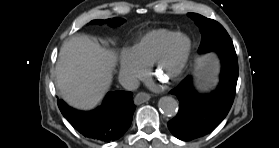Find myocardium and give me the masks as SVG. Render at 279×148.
<instances>
[{
    "instance_id": "1",
    "label": "myocardium",
    "mask_w": 279,
    "mask_h": 148,
    "mask_svg": "<svg viewBox=\"0 0 279 148\" xmlns=\"http://www.w3.org/2000/svg\"><path fill=\"white\" fill-rule=\"evenodd\" d=\"M181 41L184 42V46L181 49L179 61L172 72L165 74L164 67L173 57L177 45ZM192 50L193 44L190 37L184 33H175L154 63L155 76L163 77L169 83L178 81L184 75L189 66L192 57Z\"/></svg>"
}]
</instances>
